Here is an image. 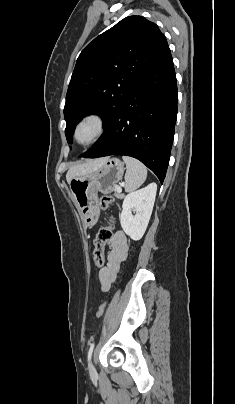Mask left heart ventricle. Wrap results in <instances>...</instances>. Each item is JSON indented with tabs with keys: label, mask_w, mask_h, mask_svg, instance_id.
Returning <instances> with one entry per match:
<instances>
[{
	"label": "left heart ventricle",
	"mask_w": 235,
	"mask_h": 404,
	"mask_svg": "<svg viewBox=\"0 0 235 404\" xmlns=\"http://www.w3.org/2000/svg\"><path fill=\"white\" fill-rule=\"evenodd\" d=\"M91 133H92V129L87 127L81 132V137L82 138H87V137H89L91 135Z\"/></svg>",
	"instance_id": "obj_1"
}]
</instances>
